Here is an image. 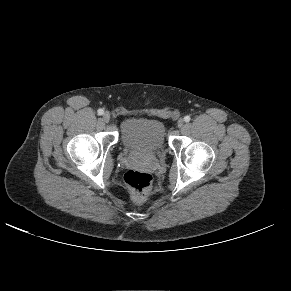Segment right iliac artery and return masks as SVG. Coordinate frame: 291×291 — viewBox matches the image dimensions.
Here are the masks:
<instances>
[{
    "mask_svg": "<svg viewBox=\"0 0 291 291\" xmlns=\"http://www.w3.org/2000/svg\"><path fill=\"white\" fill-rule=\"evenodd\" d=\"M97 113H98V115H103L104 110L103 109H98Z\"/></svg>",
    "mask_w": 291,
    "mask_h": 291,
    "instance_id": "1",
    "label": "right iliac artery"
}]
</instances>
